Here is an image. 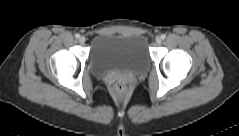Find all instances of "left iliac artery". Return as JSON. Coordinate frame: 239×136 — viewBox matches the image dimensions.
Here are the masks:
<instances>
[{"mask_svg": "<svg viewBox=\"0 0 239 136\" xmlns=\"http://www.w3.org/2000/svg\"><path fill=\"white\" fill-rule=\"evenodd\" d=\"M166 38V35L165 34H162L161 35V39H165Z\"/></svg>", "mask_w": 239, "mask_h": 136, "instance_id": "1", "label": "left iliac artery"}]
</instances>
